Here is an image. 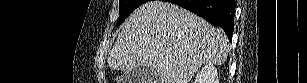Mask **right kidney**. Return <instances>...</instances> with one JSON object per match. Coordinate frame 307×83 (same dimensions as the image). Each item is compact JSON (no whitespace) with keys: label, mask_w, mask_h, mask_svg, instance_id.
<instances>
[{"label":"right kidney","mask_w":307,"mask_h":83,"mask_svg":"<svg viewBox=\"0 0 307 83\" xmlns=\"http://www.w3.org/2000/svg\"><path fill=\"white\" fill-rule=\"evenodd\" d=\"M194 83H219L216 67L212 64L202 67L197 73Z\"/></svg>","instance_id":"1"}]
</instances>
